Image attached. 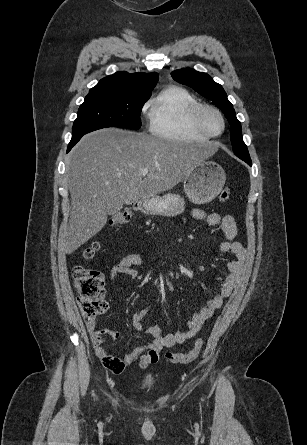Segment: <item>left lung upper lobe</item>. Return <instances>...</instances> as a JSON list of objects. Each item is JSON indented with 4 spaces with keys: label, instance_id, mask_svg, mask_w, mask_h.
Listing matches in <instances>:
<instances>
[{
    "label": "left lung upper lobe",
    "instance_id": "left-lung-upper-lobe-1",
    "mask_svg": "<svg viewBox=\"0 0 307 445\" xmlns=\"http://www.w3.org/2000/svg\"><path fill=\"white\" fill-rule=\"evenodd\" d=\"M177 82L193 88L196 92L213 101L222 110L231 125V143L233 151L237 157L250 160L247 147L242 139L241 124L236 118L233 105L227 99V95L222 86L213 81L206 73L197 72L193 69H181L171 73Z\"/></svg>",
    "mask_w": 307,
    "mask_h": 445
}]
</instances>
